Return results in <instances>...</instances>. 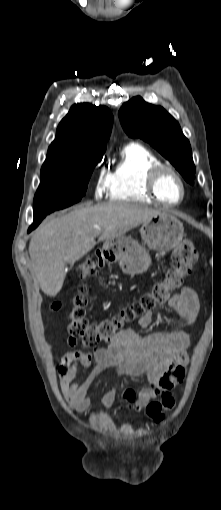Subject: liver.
<instances>
[{"label": "liver", "instance_id": "6515ba94", "mask_svg": "<svg viewBox=\"0 0 221 510\" xmlns=\"http://www.w3.org/2000/svg\"><path fill=\"white\" fill-rule=\"evenodd\" d=\"M160 213L147 206L115 201L78 207L46 220L29 243L31 267L41 290L55 297L65 280V265H74L91 251L96 236L98 241L122 236Z\"/></svg>", "mask_w": 221, "mask_h": 510}]
</instances>
